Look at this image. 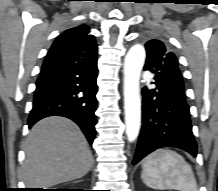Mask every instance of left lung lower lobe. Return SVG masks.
<instances>
[{
    "label": "left lung lower lobe",
    "mask_w": 218,
    "mask_h": 191,
    "mask_svg": "<svg viewBox=\"0 0 218 191\" xmlns=\"http://www.w3.org/2000/svg\"><path fill=\"white\" fill-rule=\"evenodd\" d=\"M144 70L155 74L154 89L144 87L142 90V129L133 164L139 162L147 154L161 147H177L197 156L190 121L189 106L186 102L185 90L175 86L174 89L164 87V79L148 64Z\"/></svg>",
    "instance_id": "1"
}]
</instances>
